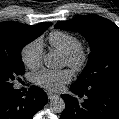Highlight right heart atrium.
<instances>
[{
	"mask_svg": "<svg viewBox=\"0 0 119 119\" xmlns=\"http://www.w3.org/2000/svg\"><path fill=\"white\" fill-rule=\"evenodd\" d=\"M20 55L23 64L27 68L31 70L38 68L41 65L43 57V45L41 39L36 38L24 45Z\"/></svg>",
	"mask_w": 119,
	"mask_h": 119,
	"instance_id": "d8ad5b80",
	"label": "right heart atrium"
}]
</instances>
